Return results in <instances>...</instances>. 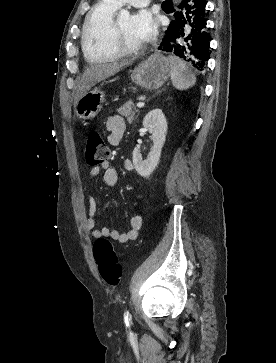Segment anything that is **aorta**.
<instances>
[{"instance_id": "1", "label": "aorta", "mask_w": 276, "mask_h": 363, "mask_svg": "<svg viewBox=\"0 0 276 363\" xmlns=\"http://www.w3.org/2000/svg\"><path fill=\"white\" fill-rule=\"evenodd\" d=\"M130 16V13L125 10V9H122L119 13H118V18L119 19H128Z\"/></svg>"}]
</instances>
